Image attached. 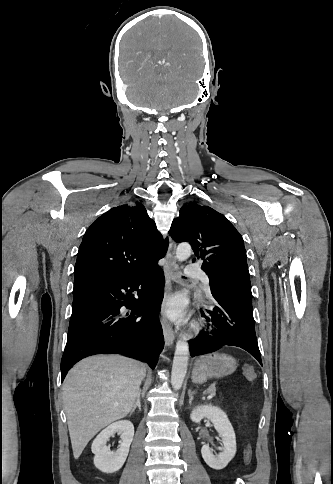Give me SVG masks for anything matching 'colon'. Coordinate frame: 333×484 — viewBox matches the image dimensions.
Segmentation results:
<instances>
[{
	"mask_svg": "<svg viewBox=\"0 0 333 484\" xmlns=\"http://www.w3.org/2000/svg\"><path fill=\"white\" fill-rule=\"evenodd\" d=\"M243 375L246 377V379L250 382L255 381L256 379V372L254 368L251 365H244L242 368ZM252 460V449L249 444L245 446L244 450V463L245 465H249Z\"/></svg>",
	"mask_w": 333,
	"mask_h": 484,
	"instance_id": "5ec220e1",
	"label": "colon"
}]
</instances>
